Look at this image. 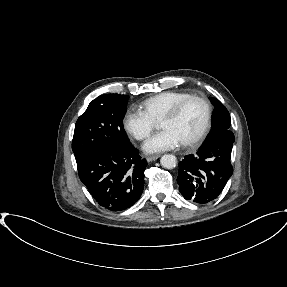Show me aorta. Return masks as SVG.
Masks as SVG:
<instances>
[{
  "instance_id": "762f6f07",
  "label": "aorta",
  "mask_w": 287,
  "mask_h": 287,
  "mask_svg": "<svg viewBox=\"0 0 287 287\" xmlns=\"http://www.w3.org/2000/svg\"><path fill=\"white\" fill-rule=\"evenodd\" d=\"M161 165L166 169H172L177 165L176 156L172 154H165L160 159Z\"/></svg>"
}]
</instances>
